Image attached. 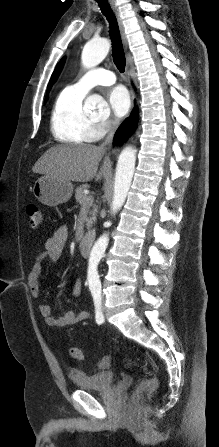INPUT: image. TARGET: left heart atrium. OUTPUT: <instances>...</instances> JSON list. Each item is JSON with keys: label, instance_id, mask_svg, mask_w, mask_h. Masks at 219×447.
Returning a JSON list of instances; mask_svg holds the SVG:
<instances>
[{"label": "left heart atrium", "instance_id": "39dd6f15", "mask_svg": "<svg viewBox=\"0 0 219 447\" xmlns=\"http://www.w3.org/2000/svg\"><path fill=\"white\" fill-rule=\"evenodd\" d=\"M108 103L116 117H123L130 110L131 98L128 91L124 87L119 86L110 91Z\"/></svg>", "mask_w": 219, "mask_h": 447}]
</instances>
